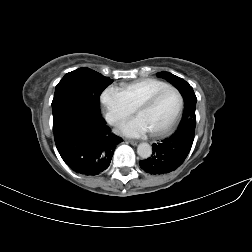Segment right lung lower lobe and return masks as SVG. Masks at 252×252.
<instances>
[{"label":"right lung lower lobe","instance_id":"right-lung-lower-lobe-1","mask_svg":"<svg viewBox=\"0 0 252 252\" xmlns=\"http://www.w3.org/2000/svg\"><path fill=\"white\" fill-rule=\"evenodd\" d=\"M53 133L64 162L87 176L107 169L116 146L123 141L106 126L101 114L73 106L53 112Z\"/></svg>","mask_w":252,"mask_h":252}]
</instances>
